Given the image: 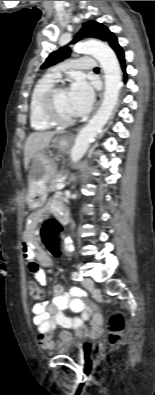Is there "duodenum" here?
Here are the masks:
<instances>
[{
  "label": "duodenum",
  "mask_w": 155,
  "mask_h": 395,
  "mask_svg": "<svg viewBox=\"0 0 155 395\" xmlns=\"http://www.w3.org/2000/svg\"><path fill=\"white\" fill-rule=\"evenodd\" d=\"M55 215H57V217H58L60 223H64V224L67 223V221H68V216H67V212L65 211L64 208L59 209L58 212H57V214H55Z\"/></svg>",
  "instance_id": "410a0bca"
}]
</instances>
